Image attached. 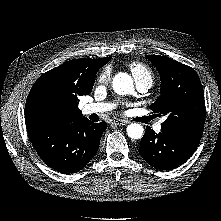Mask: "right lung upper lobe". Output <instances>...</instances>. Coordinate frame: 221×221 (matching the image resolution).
I'll list each match as a JSON object with an SVG mask.
<instances>
[{"label": "right lung upper lobe", "mask_w": 221, "mask_h": 221, "mask_svg": "<svg viewBox=\"0 0 221 221\" xmlns=\"http://www.w3.org/2000/svg\"><path fill=\"white\" fill-rule=\"evenodd\" d=\"M111 57L74 59L55 67L38 78L32 86L25 106L27 124H56L71 118H81L79 96L91 92L95 74ZM50 94L51 101L42 97Z\"/></svg>", "instance_id": "1"}]
</instances>
